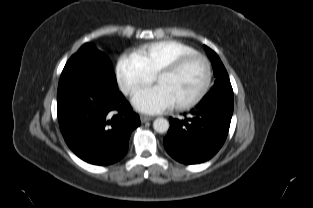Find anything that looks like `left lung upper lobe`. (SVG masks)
I'll use <instances>...</instances> for the list:
<instances>
[{
    "label": "left lung upper lobe",
    "instance_id": "left-lung-upper-lobe-1",
    "mask_svg": "<svg viewBox=\"0 0 313 208\" xmlns=\"http://www.w3.org/2000/svg\"><path fill=\"white\" fill-rule=\"evenodd\" d=\"M206 53L209 57V59L211 60L213 69H214V75L216 77V81L214 86L210 89L209 93H213V92H218V91H231L232 90V86L229 80V76L227 74V71L224 67V65L222 64L220 58L218 57V55L211 50L210 48H208L207 46H204Z\"/></svg>",
    "mask_w": 313,
    "mask_h": 208
}]
</instances>
